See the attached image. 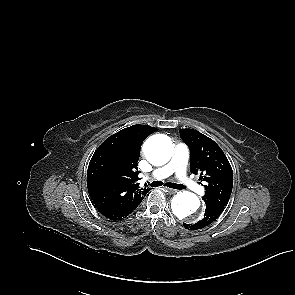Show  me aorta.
Listing matches in <instances>:
<instances>
[{
  "label": "aorta",
  "mask_w": 295,
  "mask_h": 295,
  "mask_svg": "<svg viewBox=\"0 0 295 295\" xmlns=\"http://www.w3.org/2000/svg\"><path fill=\"white\" fill-rule=\"evenodd\" d=\"M171 139L162 134L149 137L144 144V154L147 160L156 166L166 164L172 154ZM200 200L192 192L180 191L174 195L171 202L173 214L179 219L186 222L194 223L201 217L199 212Z\"/></svg>",
  "instance_id": "aorta-1"
}]
</instances>
